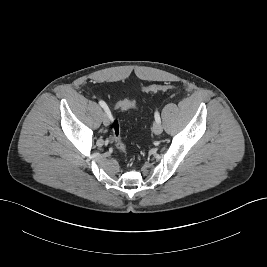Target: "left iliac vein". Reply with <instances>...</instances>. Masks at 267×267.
<instances>
[{
    "mask_svg": "<svg viewBox=\"0 0 267 267\" xmlns=\"http://www.w3.org/2000/svg\"><path fill=\"white\" fill-rule=\"evenodd\" d=\"M162 131H163V128H162L161 123L155 122L154 125H153V132L156 135H159V134L162 133Z\"/></svg>",
    "mask_w": 267,
    "mask_h": 267,
    "instance_id": "1",
    "label": "left iliac vein"
}]
</instances>
